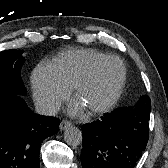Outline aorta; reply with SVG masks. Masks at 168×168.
Masks as SVG:
<instances>
[{
	"label": "aorta",
	"mask_w": 168,
	"mask_h": 168,
	"mask_svg": "<svg viewBox=\"0 0 168 168\" xmlns=\"http://www.w3.org/2000/svg\"><path fill=\"white\" fill-rule=\"evenodd\" d=\"M64 140L70 146H78L82 142V132L77 127H69L64 132Z\"/></svg>",
	"instance_id": "aorta-1"
}]
</instances>
